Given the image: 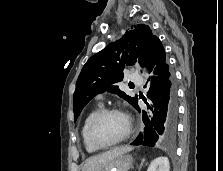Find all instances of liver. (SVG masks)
<instances>
[{"mask_svg":"<svg viewBox=\"0 0 223 171\" xmlns=\"http://www.w3.org/2000/svg\"><path fill=\"white\" fill-rule=\"evenodd\" d=\"M130 146L116 147L105 153L90 157L86 160L82 171H100L103 167L112 162L117 156L131 151Z\"/></svg>","mask_w":223,"mask_h":171,"instance_id":"1","label":"liver"}]
</instances>
